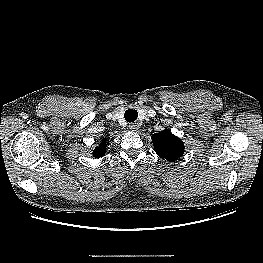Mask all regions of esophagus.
<instances>
[{"label":"esophagus","instance_id":"34e87169","mask_svg":"<svg viewBox=\"0 0 263 263\" xmlns=\"http://www.w3.org/2000/svg\"><path fill=\"white\" fill-rule=\"evenodd\" d=\"M139 128L138 124L137 123H129V129L131 131H137Z\"/></svg>","mask_w":263,"mask_h":263}]
</instances>
